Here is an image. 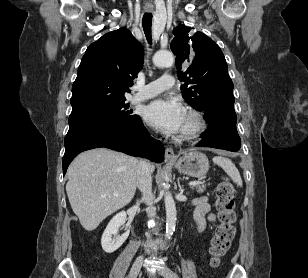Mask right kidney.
<instances>
[{
  "label": "right kidney",
  "instance_id": "right-kidney-1",
  "mask_svg": "<svg viewBox=\"0 0 308 278\" xmlns=\"http://www.w3.org/2000/svg\"><path fill=\"white\" fill-rule=\"evenodd\" d=\"M126 222V213L120 212L116 214L111 221L108 223L102 238L101 245L106 253H113L116 251L129 236V230H127L123 235L116 236L112 239V235H117L119 227Z\"/></svg>",
  "mask_w": 308,
  "mask_h": 278
}]
</instances>
